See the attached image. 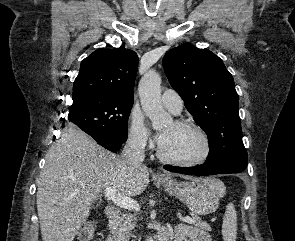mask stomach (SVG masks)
<instances>
[{"label": "stomach", "mask_w": 295, "mask_h": 241, "mask_svg": "<svg viewBox=\"0 0 295 241\" xmlns=\"http://www.w3.org/2000/svg\"><path fill=\"white\" fill-rule=\"evenodd\" d=\"M159 183L170 195L181 200L190 211L198 215L215 212L219 206V199L226 191L224 184L214 178L181 182L160 180Z\"/></svg>", "instance_id": "1"}]
</instances>
